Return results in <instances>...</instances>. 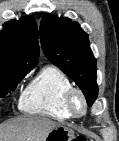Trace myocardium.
I'll return each mask as SVG.
<instances>
[{"label": "myocardium", "mask_w": 119, "mask_h": 141, "mask_svg": "<svg viewBox=\"0 0 119 141\" xmlns=\"http://www.w3.org/2000/svg\"><path fill=\"white\" fill-rule=\"evenodd\" d=\"M79 101L80 106H76V102ZM64 105L71 117L79 118L87 112V100L84 93L75 87L69 89L64 96Z\"/></svg>", "instance_id": "myocardium-1"}]
</instances>
